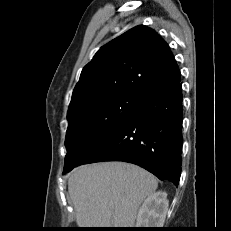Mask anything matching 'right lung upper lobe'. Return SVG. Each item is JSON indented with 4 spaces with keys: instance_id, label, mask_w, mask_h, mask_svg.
<instances>
[{
    "instance_id": "obj_1",
    "label": "right lung upper lobe",
    "mask_w": 231,
    "mask_h": 231,
    "mask_svg": "<svg viewBox=\"0 0 231 231\" xmlns=\"http://www.w3.org/2000/svg\"><path fill=\"white\" fill-rule=\"evenodd\" d=\"M180 81L165 40L147 26H136L102 46L83 68L68 113L119 94L141 97Z\"/></svg>"
}]
</instances>
